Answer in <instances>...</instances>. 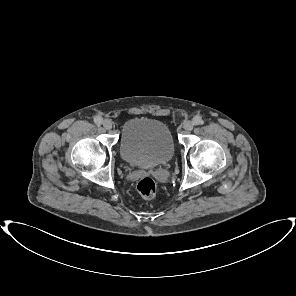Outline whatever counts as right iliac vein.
<instances>
[{
    "label": "right iliac vein",
    "instance_id": "1",
    "mask_svg": "<svg viewBox=\"0 0 296 296\" xmlns=\"http://www.w3.org/2000/svg\"><path fill=\"white\" fill-rule=\"evenodd\" d=\"M103 127L106 129V130H110L112 128V122L108 119H105L103 121Z\"/></svg>",
    "mask_w": 296,
    "mask_h": 296
}]
</instances>
